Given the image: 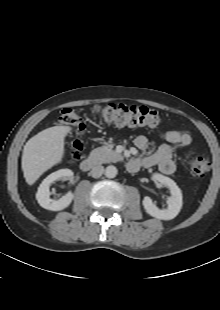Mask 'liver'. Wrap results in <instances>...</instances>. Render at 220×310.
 Returning a JSON list of instances; mask_svg holds the SVG:
<instances>
[{
  "label": "liver",
  "instance_id": "6515ba94",
  "mask_svg": "<svg viewBox=\"0 0 220 310\" xmlns=\"http://www.w3.org/2000/svg\"><path fill=\"white\" fill-rule=\"evenodd\" d=\"M71 130L69 126H54L27 141L21 163L27 184L33 185L44 172L62 161L65 137Z\"/></svg>",
  "mask_w": 220,
  "mask_h": 310
}]
</instances>
